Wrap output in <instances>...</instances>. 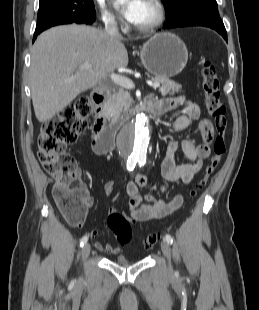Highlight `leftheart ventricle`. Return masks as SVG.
Wrapping results in <instances>:
<instances>
[{
	"instance_id": "b2bd125f",
	"label": "left heart ventricle",
	"mask_w": 259,
	"mask_h": 310,
	"mask_svg": "<svg viewBox=\"0 0 259 310\" xmlns=\"http://www.w3.org/2000/svg\"><path fill=\"white\" fill-rule=\"evenodd\" d=\"M156 14L155 7L147 0H142L133 24L137 26L148 25L155 20Z\"/></svg>"
}]
</instances>
